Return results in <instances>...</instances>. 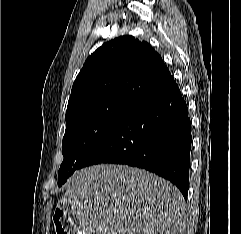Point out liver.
Segmentation results:
<instances>
[{
	"mask_svg": "<svg viewBox=\"0 0 241 234\" xmlns=\"http://www.w3.org/2000/svg\"><path fill=\"white\" fill-rule=\"evenodd\" d=\"M60 203L79 234H179L186 219L184 198L174 185L126 165L76 171Z\"/></svg>",
	"mask_w": 241,
	"mask_h": 234,
	"instance_id": "liver-1",
	"label": "liver"
}]
</instances>
